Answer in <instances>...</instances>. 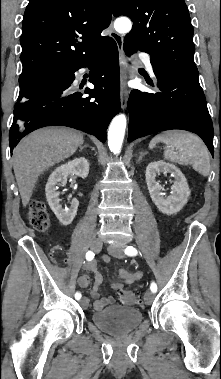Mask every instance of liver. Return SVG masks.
I'll return each instance as SVG.
<instances>
[{"label":"liver","mask_w":221,"mask_h":379,"mask_svg":"<svg viewBox=\"0 0 221 379\" xmlns=\"http://www.w3.org/2000/svg\"><path fill=\"white\" fill-rule=\"evenodd\" d=\"M83 142L81 132L55 127L36 130L16 146L13 169L24 207L31 199L38 177L72 156Z\"/></svg>","instance_id":"6515ba94"}]
</instances>
